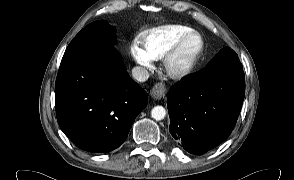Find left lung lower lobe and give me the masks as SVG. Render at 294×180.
<instances>
[{
    "label": "left lung lower lobe",
    "mask_w": 294,
    "mask_h": 180,
    "mask_svg": "<svg viewBox=\"0 0 294 180\" xmlns=\"http://www.w3.org/2000/svg\"><path fill=\"white\" fill-rule=\"evenodd\" d=\"M245 95L242 67H223L185 77L167 94L169 131L179 145L202 155L232 132Z\"/></svg>",
    "instance_id": "obj_1"
}]
</instances>
